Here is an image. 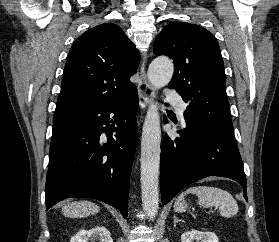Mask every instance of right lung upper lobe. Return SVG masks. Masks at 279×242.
<instances>
[{
  "instance_id": "right-lung-upper-lobe-1",
  "label": "right lung upper lobe",
  "mask_w": 279,
  "mask_h": 242,
  "mask_svg": "<svg viewBox=\"0 0 279 242\" xmlns=\"http://www.w3.org/2000/svg\"><path fill=\"white\" fill-rule=\"evenodd\" d=\"M139 60L119 26L104 23L84 32L70 49L54 117L127 98L137 90L129 79Z\"/></svg>"
}]
</instances>
